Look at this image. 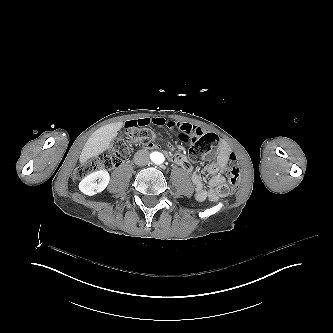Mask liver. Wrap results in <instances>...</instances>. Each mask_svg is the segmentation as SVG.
I'll list each match as a JSON object with an SVG mask.
<instances>
[{
	"label": "liver",
	"mask_w": 333,
	"mask_h": 333,
	"mask_svg": "<svg viewBox=\"0 0 333 333\" xmlns=\"http://www.w3.org/2000/svg\"><path fill=\"white\" fill-rule=\"evenodd\" d=\"M122 126L123 122H116L98 128L85 143L79 157L80 163L83 164L88 159L107 150Z\"/></svg>",
	"instance_id": "obj_1"
}]
</instances>
